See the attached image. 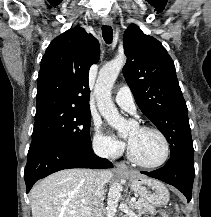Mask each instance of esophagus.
Listing matches in <instances>:
<instances>
[{
	"instance_id": "34e87169",
	"label": "esophagus",
	"mask_w": 211,
	"mask_h": 217,
	"mask_svg": "<svg viewBox=\"0 0 211 217\" xmlns=\"http://www.w3.org/2000/svg\"><path fill=\"white\" fill-rule=\"evenodd\" d=\"M102 22L104 25H108V26H111L113 24V21L110 17H104L102 19ZM115 166L120 171H127L128 170L127 166L124 163H116Z\"/></svg>"
}]
</instances>
